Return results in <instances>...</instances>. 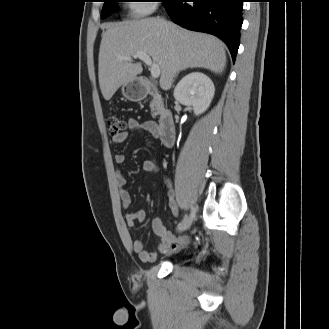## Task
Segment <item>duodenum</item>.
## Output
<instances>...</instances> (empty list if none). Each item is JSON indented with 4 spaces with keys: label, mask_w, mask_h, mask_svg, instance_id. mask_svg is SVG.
Masks as SVG:
<instances>
[{
    "label": "duodenum",
    "mask_w": 329,
    "mask_h": 329,
    "mask_svg": "<svg viewBox=\"0 0 329 329\" xmlns=\"http://www.w3.org/2000/svg\"><path fill=\"white\" fill-rule=\"evenodd\" d=\"M145 90L147 94L154 96L158 102H161V97L158 95L153 82L146 80ZM159 135L160 139L166 147H171L175 142L176 130L174 125L173 114L171 111L160 108L159 113Z\"/></svg>",
    "instance_id": "duodenum-1"
}]
</instances>
